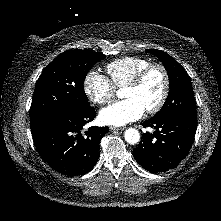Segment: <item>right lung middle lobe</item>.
<instances>
[{
    "label": "right lung middle lobe",
    "mask_w": 221,
    "mask_h": 221,
    "mask_svg": "<svg viewBox=\"0 0 221 221\" xmlns=\"http://www.w3.org/2000/svg\"><path fill=\"white\" fill-rule=\"evenodd\" d=\"M105 55L87 50H68L57 56L37 80L30 108V126L68 111H85L91 106L84 80L91 67Z\"/></svg>",
    "instance_id": "dd1d6c3e"
}]
</instances>
